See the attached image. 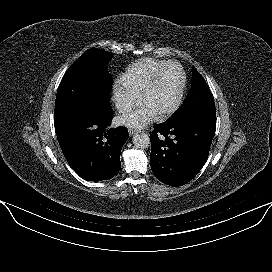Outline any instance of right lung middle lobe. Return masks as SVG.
Here are the masks:
<instances>
[{
  "label": "right lung middle lobe",
  "instance_id": "right-lung-middle-lobe-1",
  "mask_svg": "<svg viewBox=\"0 0 272 272\" xmlns=\"http://www.w3.org/2000/svg\"><path fill=\"white\" fill-rule=\"evenodd\" d=\"M112 56L111 52L91 48L67 70L57 90L55 130L81 109L95 108L104 113L111 111L112 76L107 65Z\"/></svg>",
  "mask_w": 272,
  "mask_h": 272
}]
</instances>
